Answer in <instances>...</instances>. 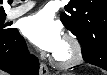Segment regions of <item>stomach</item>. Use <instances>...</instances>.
Returning a JSON list of instances; mask_svg holds the SVG:
<instances>
[{
	"label": "stomach",
	"mask_w": 107,
	"mask_h": 75,
	"mask_svg": "<svg viewBox=\"0 0 107 75\" xmlns=\"http://www.w3.org/2000/svg\"><path fill=\"white\" fill-rule=\"evenodd\" d=\"M64 75H75V74H64Z\"/></svg>",
	"instance_id": "0dacf381"
}]
</instances>
